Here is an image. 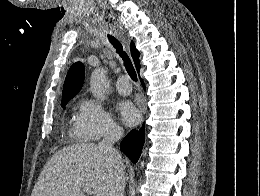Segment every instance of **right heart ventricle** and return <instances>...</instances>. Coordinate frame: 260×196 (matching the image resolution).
Here are the masks:
<instances>
[{
    "mask_svg": "<svg viewBox=\"0 0 260 196\" xmlns=\"http://www.w3.org/2000/svg\"><path fill=\"white\" fill-rule=\"evenodd\" d=\"M50 192H52V190H50ZM64 192H77V190H65Z\"/></svg>",
    "mask_w": 260,
    "mask_h": 196,
    "instance_id": "e07e8e85",
    "label": "right heart ventricle"
}]
</instances>
